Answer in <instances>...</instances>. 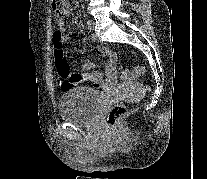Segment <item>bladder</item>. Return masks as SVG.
Masks as SVG:
<instances>
[{
    "label": "bladder",
    "mask_w": 207,
    "mask_h": 179,
    "mask_svg": "<svg viewBox=\"0 0 207 179\" xmlns=\"http://www.w3.org/2000/svg\"><path fill=\"white\" fill-rule=\"evenodd\" d=\"M100 99L99 92L92 88L69 89L60 99V117L74 126L91 125L100 111Z\"/></svg>",
    "instance_id": "1"
}]
</instances>
